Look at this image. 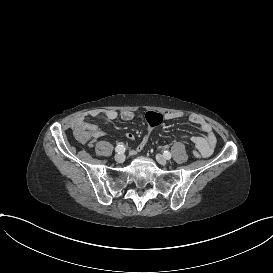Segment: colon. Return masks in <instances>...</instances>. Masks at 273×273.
I'll return each instance as SVG.
<instances>
[{
  "label": "colon",
  "instance_id": "obj_1",
  "mask_svg": "<svg viewBox=\"0 0 273 273\" xmlns=\"http://www.w3.org/2000/svg\"><path fill=\"white\" fill-rule=\"evenodd\" d=\"M164 118L160 113H152L145 116V121L149 126H156L163 122ZM72 137L76 141H81L83 144H89L93 140V136H98L102 132V126L97 122V117L93 113H81L72 120ZM153 131L152 127H148L147 134ZM150 136V135H148ZM149 137L142 136L137 145L138 151H143L148 143Z\"/></svg>",
  "mask_w": 273,
  "mask_h": 273
}]
</instances>
